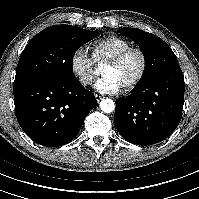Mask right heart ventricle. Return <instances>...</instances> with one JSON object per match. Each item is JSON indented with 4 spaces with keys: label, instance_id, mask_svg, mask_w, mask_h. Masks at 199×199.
Listing matches in <instances>:
<instances>
[{
    "label": "right heart ventricle",
    "instance_id": "e07e8e85",
    "mask_svg": "<svg viewBox=\"0 0 199 199\" xmlns=\"http://www.w3.org/2000/svg\"><path fill=\"white\" fill-rule=\"evenodd\" d=\"M129 46H132V44L127 39L110 36L92 45V57L94 58L95 64L104 66Z\"/></svg>",
    "mask_w": 199,
    "mask_h": 199
}]
</instances>
